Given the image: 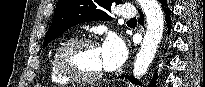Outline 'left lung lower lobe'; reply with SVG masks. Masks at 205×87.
<instances>
[{
	"label": "left lung lower lobe",
	"mask_w": 205,
	"mask_h": 87,
	"mask_svg": "<svg viewBox=\"0 0 205 87\" xmlns=\"http://www.w3.org/2000/svg\"><path fill=\"white\" fill-rule=\"evenodd\" d=\"M160 3L163 7V10L165 11V14H166V20H167V26H168V30L170 32V29L172 28L171 24H170V14H171V11L170 9L168 8V4H167V0H160ZM139 23L140 24H144V19H143V16H141V18L139 19ZM168 32V34H169ZM120 78H128L132 83H139V82H135V79L134 77L131 75V76H128V75H121ZM156 78H157V72L154 74V77L152 78L151 82H150V87H155L156 85Z\"/></svg>",
	"instance_id": "left-lung-lower-lobe-1"
}]
</instances>
